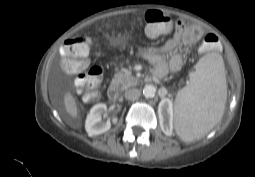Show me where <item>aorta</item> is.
<instances>
[{
	"mask_svg": "<svg viewBox=\"0 0 255 177\" xmlns=\"http://www.w3.org/2000/svg\"><path fill=\"white\" fill-rule=\"evenodd\" d=\"M156 88L153 85H146L143 89V95L146 98H151L155 95Z\"/></svg>",
	"mask_w": 255,
	"mask_h": 177,
	"instance_id": "aorta-1",
	"label": "aorta"
}]
</instances>
